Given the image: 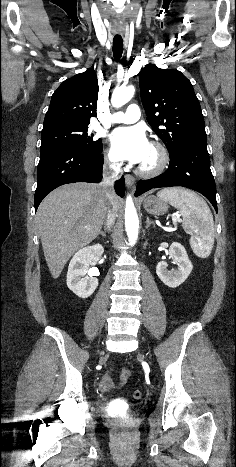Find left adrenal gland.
Wrapping results in <instances>:
<instances>
[{
    "mask_svg": "<svg viewBox=\"0 0 236 467\" xmlns=\"http://www.w3.org/2000/svg\"><path fill=\"white\" fill-rule=\"evenodd\" d=\"M151 225L155 228V223H154L153 221H151V220L149 219V217H147L145 228L148 229Z\"/></svg>",
    "mask_w": 236,
    "mask_h": 467,
    "instance_id": "1",
    "label": "left adrenal gland"
}]
</instances>
